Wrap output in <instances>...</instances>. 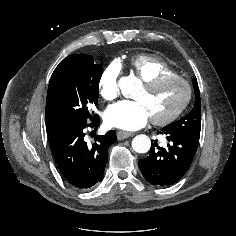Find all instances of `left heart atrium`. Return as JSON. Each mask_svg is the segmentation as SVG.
Wrapping results in <instances>:
<instances>
[{
	"label": "left heart atrium",
	"mask_w": 236,
	"mask_h": 236,
	"mask_svg": "<svg viewBox=\"0 0 236 236\" xmlns=\"http://www.w3.org/2000/svg\"><path fill=\"white\" fill-rule=\"evenodd\" d=\"M105 119L108 125L133 131L145 126L150 114L140 100H124L108 108Z\"/></svg>",
	"instance_id": "obj_1"
}]
</instances>
